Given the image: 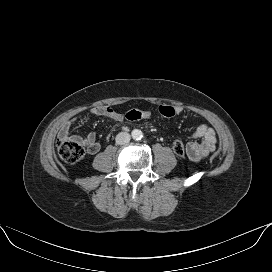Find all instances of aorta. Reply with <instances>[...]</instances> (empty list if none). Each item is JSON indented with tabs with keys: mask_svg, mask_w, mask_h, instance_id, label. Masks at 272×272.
I'll use <instances>...</instances> for the list:
<instances>
[{
	"mask_svg": "<svg viewBox=\"0 0 272 272\" xmlns=\"http://www.w3.org/2000/svg\"><path fill=\"white\" fill-rule=\"evenodd\" d=\"M131 136L133 139L135 140H140L142 137H143V134L141 132V130L139 129H134L132 132H131Z\"/></svg>",
	"mask_w": 272,
	"mask_h": 272,
	"instance_id": "aorta-1",
	"label": "aorta"
}]
</instances>
